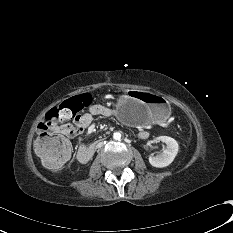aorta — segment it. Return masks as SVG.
Here are the masks:
<instances>
[{"mask_svg":"<svg viewBox=\"0 0 233 233\" xmlns=\"http://www.w3.org/2000/svg\"><path fill=\"white\" fill-rule=\"evenodd\" d=\"M113 138L115 139V140H121V133H119V132H115L114 134H113Z\"/></svg>","mask_w":233,"mask_h":233,"instance_id":"aorta-1","label":"aorta"}]
</instances>
